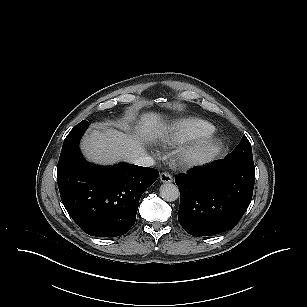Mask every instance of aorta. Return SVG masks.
<instances>
[{"label":"aorta","instance_id":"1","mask_svg":"<svg viewBox=\"0 0 307 307\" xmlns=\"http://www.w3.org/2000/svg\"><path fill=\"white\" fill-rule=\"evenodd\" d=\"M160 196L167 202H173L179 198V189L175 184L165 183L160 187Z\"/></svg>","mask_w":307,"mask_h":307}]
</instances>
